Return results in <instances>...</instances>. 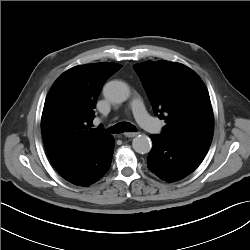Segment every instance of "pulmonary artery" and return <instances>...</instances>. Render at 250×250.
I'll list each match as a JSON object with an SVG mask.
<instances>
[{
	"instance_id": "e3ab8cb5",
	"label": "pulmonary artery",
	"mask_w": 250,
	"mask_h": 250,
	"mask_svg": "<svg viewBox=\"0 0 250 250\" xmlns=\"http://www.w3.org/2000/svg\"><path fill=\"white\" fill-rule=\"evenodd\" d=\"M131 109L141 127L151 132H157L159 130L157 121L147 113L140 99H134L131 102Z\"/></svg>"
}]
</instances>
